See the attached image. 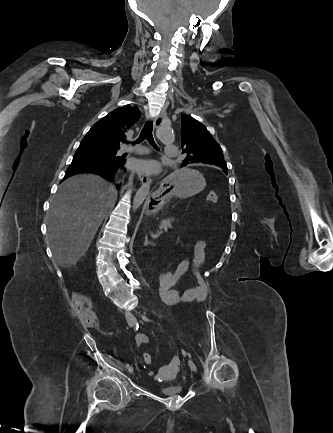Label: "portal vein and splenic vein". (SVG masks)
Instances as JSON below:
<instances>
[{
	"label": "portal vein and splenic vein",
	"instance_id": "portal-vein-and-splenic-vein-1",
	"mask_svg": "<svg viewBox=\"0 0 333 433\" xmlns=\"http://www.w3.org/2000/svg\"><path fill=\"white\" fill-rule=\"evenodd\" d=\"M163 229L166 230L167 228H166V227H160V230L158 231V233H157V234H152V237H153V238H157V237H158V234L161 233Z\"/></svg>",
	"mask_w": 333,
	"mask_h": 433
}]
</instances>
